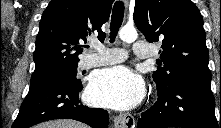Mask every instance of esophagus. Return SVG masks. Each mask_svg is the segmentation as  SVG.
Masks as SVG:
<instances>
[{
	"instance_id": "1",
	"label": "esophagus",
	"mask_w": 221,
	"mask_h": 128,
	"mask_svg": "<svg viewBox=\"0 0 221 128\" xmlns=\"http://www.w3.org/2000/svg\"><path fill=\"white\" fill-rule=\"evenodd\" d=\"M125 5H128V0H124ZM116 128H134L135 119L130 113H121L114 118Z\"/></svg>"
}]
</instances>
